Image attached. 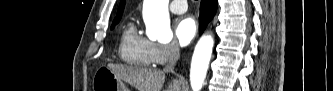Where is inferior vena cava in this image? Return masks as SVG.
<instances>
[{"label":"inferior vena cava","mask_w":333,"mask_h":91,"mask_svg":"<svg viewBox=\"0 0 333 91\" xmlns=\"http://www.w3.org/2000/svg\"><path fill=\"white\" fill-rule=\"evenodd\" d=\"M180 57L179 46L177 42H172L169 46L168 62L164 68L165 72H173L176 62Z\"/></svg>","instance_id":"inferior-vena-cava-1"}]
</instances>
